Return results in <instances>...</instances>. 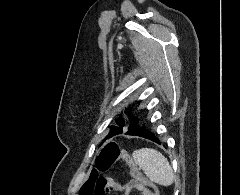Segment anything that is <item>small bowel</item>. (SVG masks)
I'll return each instance as SVG.
<instances>
[{
    "label": "small bowel",
    "mask_w": 240,
    "mask_h": 195,
    "mask_svg": "<svg viewBox=\"0 0 240 195\" xmlns=\"http://www.w3.org/2000/svg\"><path fill=\"white\" fill-rule=\"evenodd\" d=\"M147 188H150V186H141V182H134V178H132L123 184L122 192L124 195H131L133 191H138L140 195H148Z\"/></svg>",
    "instance_id": "c3829d8e"
}]
</instances>
